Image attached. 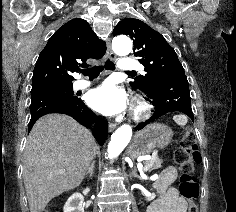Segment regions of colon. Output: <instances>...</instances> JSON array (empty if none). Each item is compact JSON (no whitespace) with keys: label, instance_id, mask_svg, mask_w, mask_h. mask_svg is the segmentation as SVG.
Masks as SVG:
<instances>
[{"label":"colon","instance_id":"1","mask_svg":"<svg viewBox=\"0 0 236 212\" xmlns=\"http://www.w3.org/2000/svg\"><path fill=\"white\" fill-rule=\"evenodd\" d=\"M174 160L181 171L179 191L188 201L187 212H199L196 204L198 184L193 175L195 165L201 162L199 145L191 129H187L182 136L180 146L176 149Z\"/></svg>","mask_w":236,"mask_h":212}]
</instances>
